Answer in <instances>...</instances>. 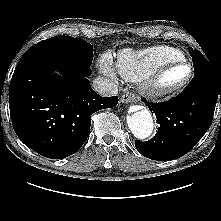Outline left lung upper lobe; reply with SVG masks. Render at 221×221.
<instances>
[{
	"label": "left lung upper lobe",
	"instance_id": "obj_1",
	"mask_svg": "<svg viewBox=\"0 0 221 221\" xmlns=\"http://www.w3.org/2000/svg\"><path fill=\"white\" fill-rule=\"evenodd\" d=\"M189 51L192 55L194 75L214 71L210 61L208 62V60L201 54L200 51L196 49L193 50L191 47L189 48Z\"/></svg>",
	"mask_w": 221,
	"mask_h": 221
}]
</instances>
